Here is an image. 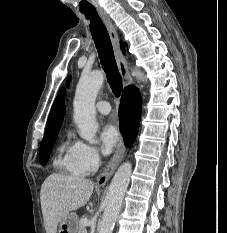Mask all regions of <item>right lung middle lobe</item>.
<instances>
[{"mask_svg": "<svg viewBox=\"0 0 227 233\" xmlns=\"http://www.w3.org/2000/svg\"><path fill=\"white\" fill-rule=\"evenodd\" d=\"M56 138H57V134L51 138L44 139L42 141L40 147V158H39V161L42 165L47 164L51 153V149L55 143Z\"/></svg>", "mask_w": 227, "mask_h": 233, "instance_id": "dd1d6c3e", "label": "right lung middle lobe"}]
</instances>
